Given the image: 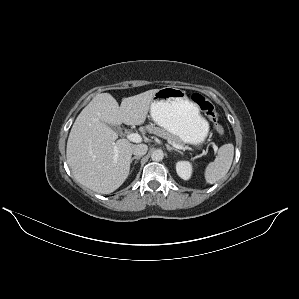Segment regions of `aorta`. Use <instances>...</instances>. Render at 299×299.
Returning a JSON list of instances; mask_svg holds the SVG:
<instances>
[{
  "label": "aorta",
  "instance_id": "762f6f07",
  "mask_svg": "<svg viewBox=\"0 0 299 299\" xmlns=\"http://www.w3.org/2000/svg\"><path fill=\"white\" fill-rule=\"evenodd\" d=\"M163 157H164V153L160 149L153 151V153L151 154V159L153 161H161Z\"/></svg>",
  "mask_w": 299,
  "mask_h": 299
}]
</instances>
